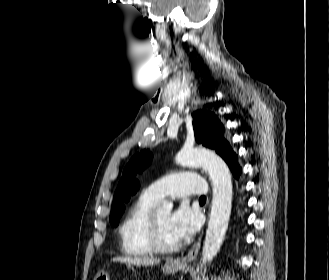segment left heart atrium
Listing matches in <instances>:
<instances>
[{
    "instance_id": "obj_1",
    "label": "left heart atrium",
    "mask_w": 329,
    "mask_h": 280,
    "mask_svg": "<svg viewBox=\"0 0 329 280\" xmlns=\"http://www.w3.org/2000/svg\"><path fill=\"white\" fill-rule=\"evenodd\" d=\"M201 217L198 211L182 203L170 215V229L178 242L190 239L199 229Z\"/></svg>"
}]
</instances>
